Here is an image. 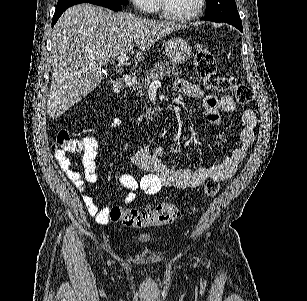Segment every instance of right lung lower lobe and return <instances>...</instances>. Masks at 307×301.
Here are the masks:
<instances>
[{
  "label": "right lung lower lobe",
  "instance_id": "1",
  "mask_svg": "<svg viewBox=\"0 0 307 301\" xmlns=\"http://www.w3.org/2000/svg\"><path fill=\"white\" fill-rule=\"evenodd\" d=\"M81 3H91V4H96L99 6H103L106 8H109L111 10L114 11H120L122 9V5H120L119 3H115V2H107V1H102V0H87L85 2H81ZM79 4V3H76ZM76 4H71L68 6H63V7H59L56 8L53 19H52V27L54 26V24L57 22V20L59 19V17L62 15V13L69 7L76 5Z\"/></svg>",
  "mask_w": 307,
  "mask_h": 301
}]
</instances>
